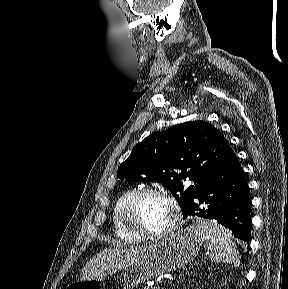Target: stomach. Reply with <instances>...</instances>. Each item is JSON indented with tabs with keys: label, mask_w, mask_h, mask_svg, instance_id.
<instances>
[{
	"label": "stomach",
	"mask_w": 288,
	"mask_h": 289,
	"mask_svg": "<svg viewBox=\"0 0 288 289\" xmlns=\"http://www.w3.org/2000/svg\"><path fill=\"white\" fill-rule=\"evenodd\" d=\"M201 247V238L193 226H188L147 247L138 260L96 278L74 282L67 289H131L187 264Z\"/></svg>",
	"instance_id": "1"
}]
</instances>
